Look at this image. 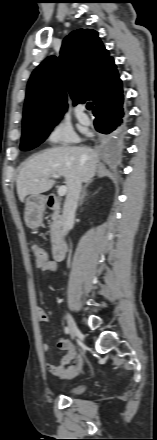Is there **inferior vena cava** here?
I'll list each match as a JSON object with an SVG mask.
<instances>
[{
  "mask_svg": "<svg viewBox=\"0 0 157 440\" xmlns=\"http://www.w3.org/2000/svg\"><path fill=\"white\" fill-rule=\"evenodd\" d=\"M81 180L76 179L69 188L62 215V234L65 236L74 223L75 211L77 208L80 192Z\"/></svg>",
  "mask_w": 157,
  "mask_h": 440,
  "instance_id": "obj_1",
  "label": "inferior vena cava"
}]
</instances>
